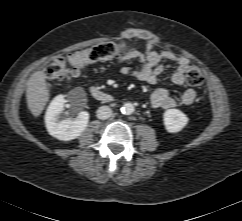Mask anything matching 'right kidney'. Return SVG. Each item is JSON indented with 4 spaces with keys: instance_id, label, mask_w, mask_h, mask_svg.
Wrapping results in <instances>:
<instances>
[{
    "instance_id": "obj_1",
    "label": "right kidney",
    "mask_w": 242,
    "mask_h": 221,
    "mask_svg": "<svg viewBox=\"0 0 242 221\" xmlns=\"http://www.w3.org/2000/svg\"><path fill=\"white\" fill-rule=\"evenodd\" d=\"M67 102L70 107L77 106L75 101L67 100L63 95H58L51 101L45 114V124L48 133L62 141L76 139L86 129L89 121V114L86 111H80L75 120L70 118L60 120L59 115L63 112Z\"/></svg>"
}]
</instances>
